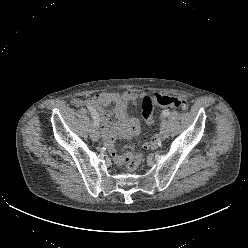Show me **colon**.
<instances>
[{
	"instance_id": "5ec220e1",
	"label": "colon",
	"mask_w": 248,
	"mask_h": 248,
	"mask_svg": "<svg viewBox=\"0 0 248 248\" xmlns=\"http://www.w3.org/2000/svg\"><path fill=\"white\" fill-rule=\"evenodd\" d=\"M154 105H160L181 110H186L188 108L186 100L181 97L168 95L146 96L142 101L141 115L145 122L149 124L153 122ZM125 160L127 171L133 172L138 168L141 162V154L137 153L134 155H127L125 157Z\"/></svg>"
}]
</instances>
